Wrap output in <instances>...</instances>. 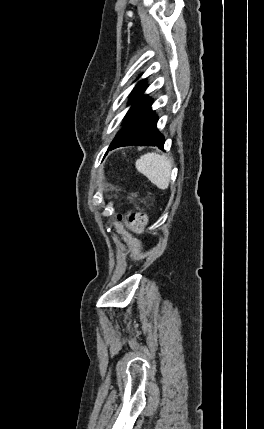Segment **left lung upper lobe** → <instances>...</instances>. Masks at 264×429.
Here are the masks:
<instances>
[{"label":"left lung upper lobe","mask_w":264,"mask_h":429,"mask_svg":"<svg viewBox=\"0 0 264 429\" xmlns=\"http://www.w3.org/2000/svg\"><path fill=\"white\" fill-rule=\"evenodd\" d=\"M144 81L139 82L136 87L134 88L133 94L131 96L130 99V103H132V107L129 110V112L127 113L126 117H125V123L123 128L121 129V131L116 135L115 139L118 138V136L121 134L122 130L124 129V127L126 126L127 122L129 121L131 115L133 114V112L135 111V109L139 106V104L146 98V96H142L143 92H144ZM114 139V140H115ZM113 140V141H114Z\"/></svg>","instance_id":"left-lung-upper-lobe-1"}]
</instances>
